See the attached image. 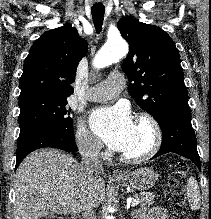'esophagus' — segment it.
Masks as SVG:
<instances>
[{
	"instance_id": "esophagus-1",
	"label": "esophagus",
	"mask_w": 211,
	"mask_h": 219,
	"mask_svg": "<svg viewBox=\"0 0 211 219\" xmlns=\"http://www.w3.org/2000/svg\"><path fill=\"white\" fill-rule=\"evenodd\" d=\"M113 176H114V177H122L123 174H122V172L119 171V170H114V171H113Z\"/></svg>"
}]
</instances>
